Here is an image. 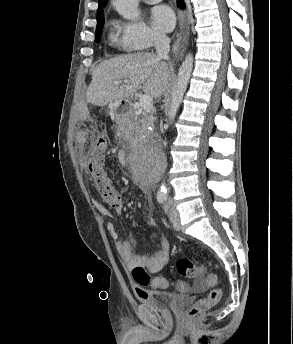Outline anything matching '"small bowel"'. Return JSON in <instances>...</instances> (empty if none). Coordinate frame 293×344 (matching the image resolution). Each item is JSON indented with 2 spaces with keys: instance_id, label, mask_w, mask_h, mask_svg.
<instances>
[{
  "instance_id": "1",
  "label": "small bowel",
  "mask_w": 293,
  "mask_h": 344,
  "mask_svg": "<svg viewBox=\"0 0 293 344\" xmlns=\"http://www.w3.org/2000/svg\"><path fill=\"white\" fill-rule=\"evenodd\" d=\"M96 137H99V135ZM91 139L92 135L86 131L77 130L75 133V142L80 151H83L86 148ZM121 157L124 159L125 155L122 154ZM95 206L104 217H111V212L102 203L96 201ZM122 209L123 205L120 203V205L117 206V210L121 212ZM149 225L151 227H155L156 223L154 220H151ZM107 231L115 242L118 255L128 269L143 267L151 274H156L162 270L163 266L168 261L170 244L165 237L159 238V247L154 252L149 255L140 256L136 253L135 242L131 238L120 240L118 230L113 222L110 221L107 223ZM184 285L185 288L182 291L185 292L187 291L188 287L185 283ZM135 292L138 297H142L144 296L146 290L140 286H137L135 288Z\"/></svg>"
}]
</instances>
